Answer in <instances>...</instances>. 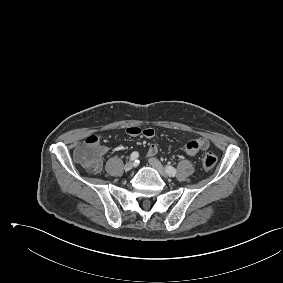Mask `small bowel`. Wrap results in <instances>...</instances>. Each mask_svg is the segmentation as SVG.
<instances>
[{"label":"small bowel","mask_w":283,"mask_h":283,"mask_svg":"<svg viewBox=\"0 0 283 283\" xmlns=\"http://www.w3.org/2000/svg\"><path fill=\"white\" fill-rule=\"evenodd\" d=\"M126 133L129 136L137 137L139 135H143L146 138H151L154 136V130L151 128L140 129L136 126H131L126 129ZM209 147L208 139L204 137H199L197 139L188 141L184 144L183 149L185 153L193 157L195 156L200 150H206ZM105 148H102V152L105 151ZM158 152V148L155 144H151L148 149V156H155Z\"/></svg>","instance_id":"1"}]
</instances>
